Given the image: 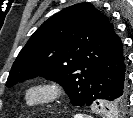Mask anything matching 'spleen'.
<instances>
[{
    "label": "spleen",
    "mask_w": 133,
    "mask_h": 118,
    "mask_svg": "<svg viewBox=\"0 0 133 118\" xmlns=\"http://www.w3.org/2000/svg\"><path fill=\"white\" fill-rule=\"evenodd\" d=\"M74 118H82V117H79V116H75Z\"/></svg>",
    "instance_id": "obj_1"
}]
</instances>
